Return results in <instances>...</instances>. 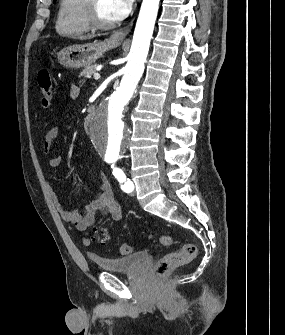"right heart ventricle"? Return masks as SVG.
I'll return each mask as SVG.
<instances>
[{
    "label": "right heart ventricle",
    "mask_w": 285,
    "mask_h": 335,
    "mask_svg": "<svg viewBox=\"0 0 285 335\" xmlns=\"http://www.w3.org/2000/svg\"><path fill=\"white\" fill-rule=\"evenodd\" d=\"M89 8V1H61L56 22L57 33L64 38H81L90 30Z\"/></svg>",
    "instance_id": "right-heart-ventricle-1"
}]
</instances>
